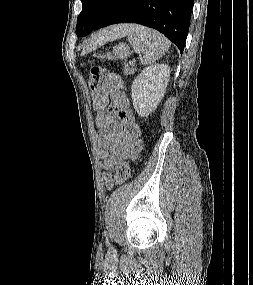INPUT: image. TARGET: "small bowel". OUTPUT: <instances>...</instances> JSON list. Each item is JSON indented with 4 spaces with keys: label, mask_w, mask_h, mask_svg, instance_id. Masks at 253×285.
Here are the masks:
<instances>
[{
    "label": "small bowel",
    "mask_w": 253,
    "mask_h": 285,
    "mask_svg": "<svg viewBox=\"0 0 253 285\" xmlns=\"http://www.w3.org/2000/svg\"><path fill=\"white\" fill-rule=\"evenodd\" d=\"M122 80L110 74L103 82L101 92L93 106L98 112L96 126L99 129L103 182L112 187L111 172L124 158H135L142 149L141 130L128 109V98L122 90Z\"/></svg>",
    "instance_id": "obj_1"
}]
</instances>
